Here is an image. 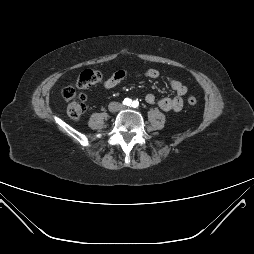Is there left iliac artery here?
Segmentation results:
<instances>
[{
  "label": "left iliac artery",
  "mask_w": 254,
  "mask_h": 254,
  "mask_svg": "<svg viewBox=\"0 0 254 254\" xmlns=\"http://www.w3.org/2000/svg\"><path fill=\"white\" fill-rule=\"evenodd\" d=\"M138 105H139V102L137 100L133 101L132 107L136 108V107H138Z\"/></svg>",
  "instance_id": "obj_1"
}]
</instances>
